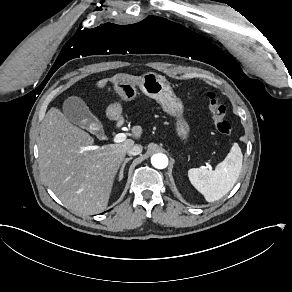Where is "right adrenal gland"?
<instances>
[{
	"mask_svg": "<svg viewBox=\"0 0 292 292\" xmlns=\"http://www.w3.org/2000/svg\"><path fill=\"white\" fill-rule=\"evenodd\" d=\"M130 160H132V157L127 158V159L125 160V162H124V164H123V166H122V168H121V171H120V173H119V180H122V178H123V172H124L125 166H126V164L128 163V161H130Z\"/></svg>",
	"mask_w": 292,
	"mask_h": 292,
	"instance_id": "2a0ac1e0",
	"label": "right adrenal gland"
}]
</instances>
